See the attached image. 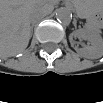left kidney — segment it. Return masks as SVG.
Wrapping results in <instances>:
<instances>
[{
	"label": "left kidney",
	"instance_id": "left-kidney-1",
	"mask_svg": "<svg viewBox=\"0 0 103 103\" xmlns=\"http://www.w3.org/2000/svg\"><path fill=\"white\" fill-rule=\"evenodd\" d=\"M73 37H78L87 40L90 43V47L87 48L78 49L77 47H75V50L77 52L82 53L86 58L94 59L102 55V41L100 38L90 33H85L83 31H74L71 33L69 38L72 46H74V43L72 41Z\"/></svg>",
	"mask_w": 103,
	"mask_h": 103
}]
</instances>
